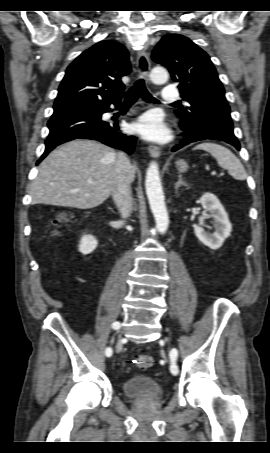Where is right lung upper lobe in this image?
<instances>
[{
    "label": "right lung upper lobe",
    "mask_w": 270,
    "mask_h": 453,
    "mask_svg": "<svg viewBox=\"0 0 270 453\" xmlns=\"http://www.w3.org/2000/svg\"><path fill=\"white\" fill-rule=\"evenodd\" d=\"M131 71L129 54L118 42L104 40L79 55L67 68L54 103V113L120 101L121 78Z\"/></svg>",
    "instance_id": "obj_1"
}]
</instances>
